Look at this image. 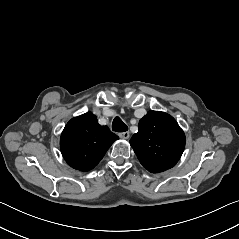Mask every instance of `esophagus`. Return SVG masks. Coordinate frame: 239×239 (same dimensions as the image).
<instances>
[{
  "label": "esophagus",
  "instance_id": "obj_1",
  "mask_svg": "<svg viewBox=\"0 0 239 239\" xmlns=\"http://www.w3.org/2000/svg\"><path fill=\"white\" fill-rule=\"evenodd\" d=\"M118 135L122 139H128L130 136V133L128 131H126V132L119 133Z\"/></svg>",
  "mask_w": 239,
  "mask_h": 239
}]
</instances>
